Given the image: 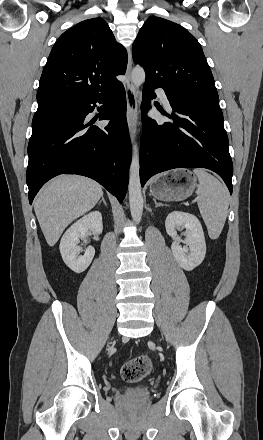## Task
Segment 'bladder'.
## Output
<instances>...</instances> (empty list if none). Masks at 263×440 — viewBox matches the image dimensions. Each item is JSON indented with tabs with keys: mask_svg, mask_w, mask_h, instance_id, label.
Instances as JSON below:
<instances>
[{
	"mask_svg": "<svg viewBox=\"0 0 263 440\" xmlns=\"http://www.w3.org/2000/svg\"><path fill=\"white\" fill-rule=\"evenodd\" d=\"M137 391L138 388L137 387H127V388H122V389H118L117 391Z\"/></svg>",
	"mask_w": 263,
	"mask_h": 440,
	"instance_id": "1",
	"label": "bladder"
}]
</instances>
